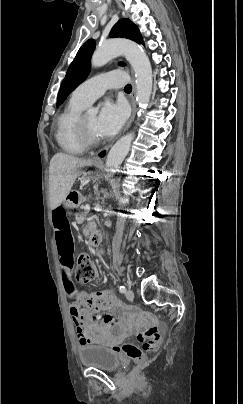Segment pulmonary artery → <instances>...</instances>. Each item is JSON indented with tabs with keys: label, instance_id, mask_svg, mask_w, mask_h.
Instances as JSON below:
<instances>
[{
	"label": "pulmonary artery",
	"instance_id": "1",
	"mask_svg": "<svg viewBox=\"0 0 243 404\" xmlns=\"http://www.w3.org/2000/svg\"><path fill=\"white\" fill-rule=\"evenodd\" d=\"M124 84V81L118 79L113 73H99L81 83L77 90L79 97L90 105L94 100L104 94L109 88H117Z\"/></svg>",
	"mask_w": 243,
	"mask_h": 404
}]
</instances>
